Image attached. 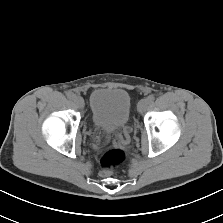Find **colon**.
<instances>
[{"label": "colon", "mask_w": 223, "mask_h": 223, "mask_svg": "<svg viewBox=\"0 0 223 223\" xmlns=\"http://www.w3.org/2000/svg\"><path fill=\"white\" fill-rule=\"evenodd\" d=\"M126 159V154L121 149H110L106 151L99 160L100 170L103 175H109L113 170L121 166Z\"/></svg>", "instance_id": "obj_1"}]
</instances>
